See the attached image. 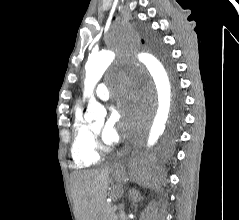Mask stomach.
<instances>
[{
	"mask_svg": "<svg viewBox=\"0 0 239 220\" xmlns=\"http://www.w3.org/2000/svg\"><path fill=\"white\" fill-rule=\"evenodd\" d=\"M119 186L121 185V183H117ZM118 192H121V191H118Z\"/></svg>",
	"mask_w": 239,
	"mask_h": 220,
	"instance_id": "obj_1",
	"label": "stomach"
}]
</instances>
